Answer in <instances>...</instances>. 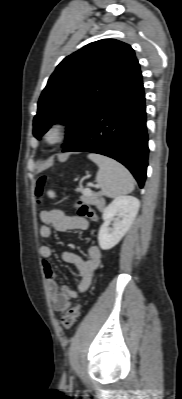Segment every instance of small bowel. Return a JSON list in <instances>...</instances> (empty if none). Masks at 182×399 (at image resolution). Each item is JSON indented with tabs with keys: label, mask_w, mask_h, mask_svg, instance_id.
<instances>
[{
	"label": "small bowel",
	"mask_w": 182,
	"mask_h": 399,
	"mask_svg": "<svg viewBox=\"0 0 182 399\" xmlns=\"http://www.w3.org/2000/svg\"><path fill=\"white\" fill-rule=\"evenodd\" d=\"M42 225L39 227L38 234L41 239L53 240V231L66 232L72 230H86L89 226L87 219L79 216H70L60 208H52L40 213ZM43 274L45 276L46 289L53 307L58 312L65 311L71 304L72 299L78 293L84 292L90 285L91 280L101 262V252L96 245H88L86 258L82 259L72 252H64L62 260L66 263L75 265L79 277L77 290L68 285L60 284L54 266L50 262L53 250L48 245L39 248Z\"/></svg>",
	"instance_id": "c3829d8e"
}]
</instances>
